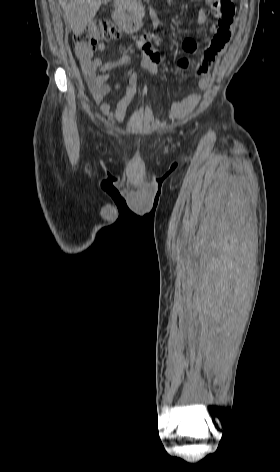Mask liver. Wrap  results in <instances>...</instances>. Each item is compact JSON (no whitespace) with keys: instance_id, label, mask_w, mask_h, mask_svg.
Instances as JSON below:
<instances>
[{"instance_id":"1","label":"liver","mask_w":280,"mask_h":472,"mask_svg":"<svg viewBox=\"0 0 280 472\" xmlns=\"http://www.w3.org/2000/svg\"><path fill=\"white\" fill-rule=\"evenodd\" d=\"M65 13V21L75 34H80L93 20L100 8L101 0H59Z\"/></svg>"}]
</instances>
